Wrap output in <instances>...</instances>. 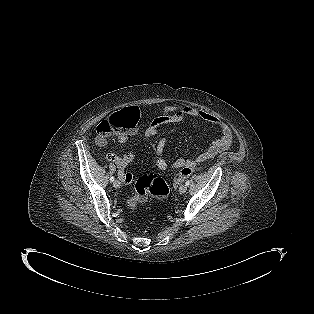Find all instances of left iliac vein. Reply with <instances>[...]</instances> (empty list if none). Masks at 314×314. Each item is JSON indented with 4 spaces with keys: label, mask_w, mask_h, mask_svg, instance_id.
<instances>
[{
    "label": "left iliac vein",
    "mask_w": 314,
    "mask_h": 314,
    "mask_svg": "<svg viewBox=\"0 0 314 314\" xmlns=\"http://www.w3.org/2000/svg\"><path fill=\"white\" fill-rule=\"evenodd\" d=\"M186 191H187V185L186 184L181 185L179 188V192L181 194H184Z\"/></svg>",
    "instance_id": "obj_1"
}]
</instances>
